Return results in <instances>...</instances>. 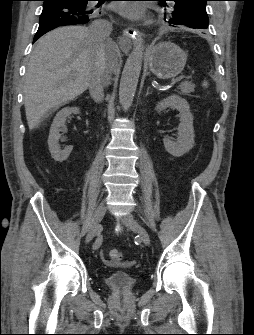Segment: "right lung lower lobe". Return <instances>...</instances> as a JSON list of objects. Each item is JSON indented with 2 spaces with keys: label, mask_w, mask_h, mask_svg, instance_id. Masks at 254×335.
<instances>
[{
  "label": "right lung lower lobe",
  "mask_w": 254,
  "mask_h": 335,
  "mask_svg": "<svg viewBox=\"0 0 254 335\" xmlns=\"http://www.w3.org/2000/svg\"><path fill=\"white\" fill-rule=\"evenodd\" d=\"M43 11L34 41L59 26L87 23L95 11L90 1L94 0H43ZM104 3L99 0L98 6Z\"/></svg>",
  "instance_id": "obj_1"
}]
</instances>
